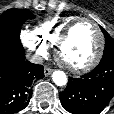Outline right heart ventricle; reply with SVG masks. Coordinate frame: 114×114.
Returning a JSON list of instances; mask_svg holds the SVG:
<instances>
[{
	"mask_svg": "<svg viewBox=\"0 0 114 114\" xmlns=\"http://www.w3.org/2000/svg\"><path fill=\"white\" fill-rule=\"evenodd\" d=\"M76 19L77 16H56L37 24L33 33L40 43L51 48L56 45L66 27Z\"/></svg>",
	"mask_w": 114,
	"mask_h": 114,
	"instance_id": "e07e8e85",
	"label": "right heart ventricle"
}]
</instances>
